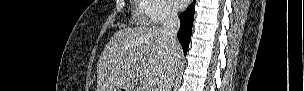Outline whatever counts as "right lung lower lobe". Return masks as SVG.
<instances>
[{
    "label": "right lung lower lobe",
    "instance_id": "1",
    "mask_svg": "<svg viewBox=\"0 0 304 91\" xmlns=\"http://www.w3.org/2000/svg\"><path fill=\"white\" fill-rule=\"evenodd\" d=\"M194 12L195 8L193 2L182 14L179 15L181 25L177 36L185 54L187 53L189 42L191 39Z\"/></svg>",
    "mask_w": 304,
    "mask_h": 91
}]
</instances>
